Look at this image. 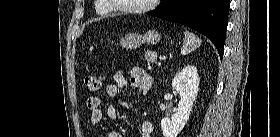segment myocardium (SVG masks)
<instances>
[{
	"label": "myocardium",
	"mask_w": 280,
	"mask_h": 137,
	"mask_svg": "<svg viewBox=\"0 0 280 137\" xmlns=\"http://www.w3.org/2000/svg\"><path fill=\"white\" fill-rule=\"evenodd\" d=\"M156 2H158V1L157 0H147V3L145 5L137 6V7L121 8V9H118V11H120L124 14H129V15L141 14V13H144V12L152 9L155 6ZM111 7L115 8L116 6L111 5Z\"/></svg>",
	"instance_id": "f54148a6"
}]
</instances>
